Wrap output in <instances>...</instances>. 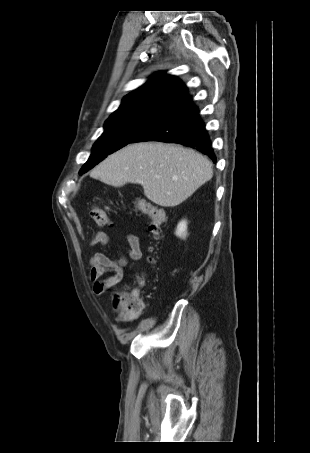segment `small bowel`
Instances as JSON below:
<instances>
[{
    "instance_id": "small-bowel-1",
    "label": "small bowel",
    "mask_w": 310,
    "mask_h": 453,
    "mask_svg": "<svg viewBox=\"0 0 310 453\" xmlns=\"http://www.w3.org/2000/svg\"><path fill=\"white\" fill-rule=\"evenodd\" d=\"M127 243L126 251L128 257L122 256L118 259H113L100 252L95 253L91 257L92 268L90 279L93 282V292L95 295L100 296L107 289L120 283L124 279L127 271L131 270L134 264L141 260L142 249L138 236L129 233L127 235ZM108 244L109 237L104 232L95 233L89 240L90 246L100 245L106 247ZM108 272H112L113 274L106 279H102ZM116 319L120 323H128L137 319V316L127 317L118 313Z\"/></svg>"
}]
</instances>
